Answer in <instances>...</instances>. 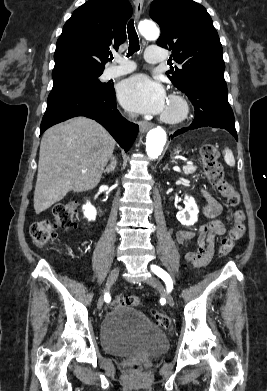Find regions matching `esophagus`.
Masks as SVG:
<instances>
[{"label": "esophagus", "instance_id": "1", "mask_svg": "<svg viewBox=\"0 0 267 391\" xmlns=\"http://www.w3.org/2000/svg\"><path fill=\"white\" fill-rule=\"evenodd\" d=\"M143 0H135V16L136 19L139 20L140 15L142 13V8H143ZM153 126L152 123L146 122V121H140L139 122V128L141 132H146L148 129H150Z\"/></svg>", "mask_w": 267, "mask_h": 391}]
</instances>
